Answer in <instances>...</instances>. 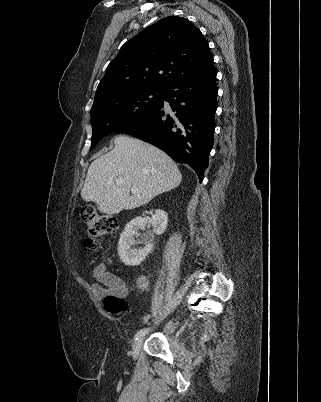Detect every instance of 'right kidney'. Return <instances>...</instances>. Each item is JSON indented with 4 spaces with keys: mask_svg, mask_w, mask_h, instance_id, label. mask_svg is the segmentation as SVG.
I'll return each mask as SVG.
<instances>
[{
    "mask_svg": "<svg viewBox=\"0 0 321 402\" xmlns=\"http://www.w3.org/2000/svg\"><path fill=\"white\" fill-rule=\"evenodd\" d=\"M145 221L142 217H136L132 219L122 232L118 242V255L121 261L127 266L139 265L153 249V244L148 243L144 248L136 249L135 235L139 229L145 226ZM151 224L153 231L157 235H161L165 232L168 224L167 213L163 210H155V214L152 216Z\"/></svg>",
    "mask_w": 321,
    "mask_h": 402,
    "instance_id": "obj_1",
    "label": "right kidney"
}]
</instances>
